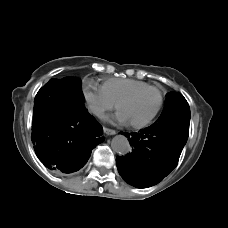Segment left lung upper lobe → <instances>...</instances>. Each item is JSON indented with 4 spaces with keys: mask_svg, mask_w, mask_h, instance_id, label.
<instances>
[{
    "mask_svg": "<svg viewBox=\"0 0 228 228\" xmlns=\"http://www.w3.org/2000/svg\"><path fill=\"white\" fill-rule=\"evenodd\" d=\"M156 122H162L172 128L189 127L190 108L184 96L177 92L168 93L165 108ZM182 131L188 136L189 128Z\"/></svg>",
    "mask_w": 228,
    "mask_h": 228,
    "instance_id": "obj_1",
    "label": "left lung upper lobe"
}]
</instances>
